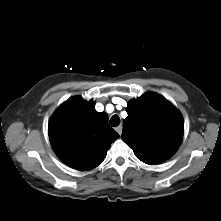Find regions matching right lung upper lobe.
Listing matches in <instances>:
<instances>
[{"label":"right lung upper lobe","mask_w":221,"mask_h":221,"mask_svg":"<svg viewBox=\"0 0 221 221\" xmlns=\"http://www.w3.org/2000/svg\"><path fill=\"white\" fill-rule=\"evenodd\" d=\"M119 134L108 125L105 112L93 101L73 97L62 104L49 122V138L57 156L72 168L86 171L106 157Z\"/></svg>","instance_id":"cb5924a9"}]
</instances>
